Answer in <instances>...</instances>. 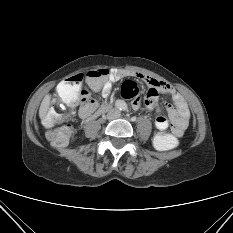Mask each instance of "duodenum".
Returning <instances> with one entry per match:
<instances>
[{"mask_svg": "<svg viewBox=\"0 0 233 233\" xmlns=\"http://www.w3.org/2000/svg\"><path fill=\"white\" fill-rule=\"evenodd\" d=\"M108 108V104H106L103 108H102V110H106Z\"/></svg>", "mask_w": 233, "mask_h": 233, "instance_id": "duodenum-1", "label": "duodenum"}]
</instances>
